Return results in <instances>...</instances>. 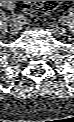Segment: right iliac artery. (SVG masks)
Masks as SVG:
<instances>
[{"instance_id":"obj_1","label":"right iliac artery","mask_w":74,"mask_h":122,"mask_svg":"<svg viewBox=\"0 0 74 122\" xmlns=\"http://www.w3.org/2000/svg\"><path fill=\"white\" fill-rule=\"evenodd\" d=\"M12 22H13V23H15V22H16V20H15V19H13V20H12Z\"/></svg>"}]
</instances>
